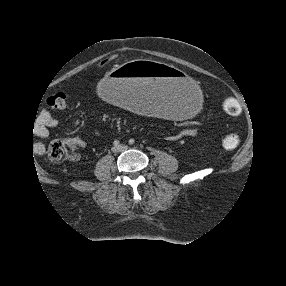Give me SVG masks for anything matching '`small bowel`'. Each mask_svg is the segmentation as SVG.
Instances as JSON below:
<instances>
[{"mask_svg": "<svg viewBox=\"0 0 286 286\" xmlns=\"http://www.w3.org/2000/svg\"><path fill=\"white\" fill-rule=\"evenodd\" d=\"M57 119L51 115L49 112L43 111L40 115V124L36 129L37 135L45 139L49 137L50 129L57 125ZM197 134V129L194 127L185 128L175 134H172L168 137L170 141H179L184 137H191ZM93 135L95 137H100V131L95 129L93 130ZM63 143L70 149L71 151V159L77 160L79 158L78 151L87 146V142L80 137L71 136L63 139ZM35 149L39 153L44 152V145L42 143H36Z\"/></svg>", "mask_w": 286, "mask_h": 286, "instance_id": "1", "label": "small bowel"}]
</instances>
